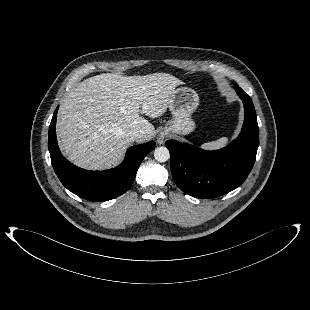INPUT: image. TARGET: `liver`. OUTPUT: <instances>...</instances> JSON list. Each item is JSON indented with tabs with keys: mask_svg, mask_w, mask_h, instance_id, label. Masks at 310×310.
<instances>
[{
	"mask_svg": "<svg viewBox=\"0 0 310 310\" xmlns=\"http://www.w3.org/2000/svg\"><path fill=\"white\" fill-rule=\"evenodd\" d=\"M184 84L168 73L145 76L100 74L82 81L60 105L59 145L75 165L103 170L116 165L139 130L145 142L154 126L140 113L156 118L166 112L177 86Z\"/></svg>",
	"mask_w": 310,
	"mask_h": 310,
	"instance_id": "1",
	"label": "liver"
}]
</instances>
